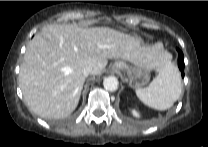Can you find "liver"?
I'll list each match as a JSON object with an SVG mask.
<instances>
[{"label": "liver", "mask_w": 208, "mask_h": 147, "mask_svg": "<svg viewBox=\"0 0 208 147\" xmlns=\"http://www.w3.org/2000/svg\"><path fill=\"white\" fill-rule=\"evenodd\" d=\"M112 58L159 70L170 55L108 27L45 26L28 44L21 64L24 101L41 117H66L78 105L85 82L82 69L90 65L93 75H99Z\"/></svg>", "instance_id": "liver-1"}]
</instances>
